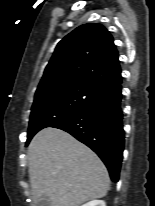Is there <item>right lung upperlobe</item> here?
I'll list each match as a JSON object with an SVG mask.
<instances>
[{
  "label": "right lung upper lobe",
  "instance_id": "cb5924a9",
  "mask_svg": "<svg viewBox=\"0 0 155 206\" xmlns=\"http://www.w3.org/2000/svg\"><path fill=\"white\" fill-rule=\"evenodd\" d=\"M122 83L118 52L110 32L100 24H84L56 46L37 91L75 85L105 92Z\"/></svg>",
  "mask_w": 155,
  "mask_h": 206
}]
</instances>
